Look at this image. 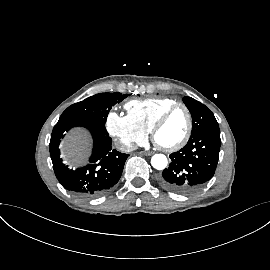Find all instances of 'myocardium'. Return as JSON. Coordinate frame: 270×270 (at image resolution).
<instances>
[{
  "instance_id": "myocardium-1",
  "label": "myocardium",
  "mask_w": 270,
  "mask_h": 270,
  "mask_svg": "<svg viewBox=\"0 0 270 270\" xmlns=\"http://www.w3.org/2000/svg\"><path fill=\"white\" fill-rule=\"evenodd\" d=\"M178 108H182L186 112V115H187L186 132H185L184 136L182 137V139L179 142H177L176 144L171 145V146H162L156 141V135H157L158 131L160 130V128L168 120L170 115ZM192 130H193V117H192V113H191L189 107L184 103L177 102V103L171 105L170 107H168L156 120V122L154 123V125L151 129V138H152V141L154 142V144L162 151L175 152L186 145V143L188 142V140L191 137Z\"/></svg>"
}]
</instances>
